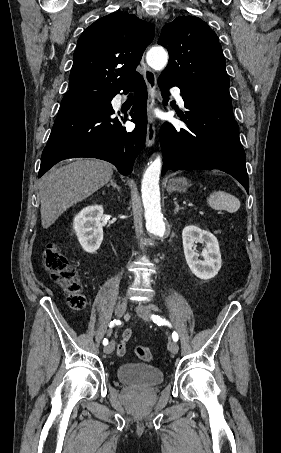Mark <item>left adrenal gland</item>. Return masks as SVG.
Instances as JSON below:
<instances>
[{"label": "left adrenal gland", "mask_w": 281, "mask_h": 453, "mask_svg": "<svg viewBox=\"0 0 281 453\" xmlns=\"http://www.w3.org/2000/svg\"><path fill=\"white\" fill-rule=\"evenodd\" d=\"M174 204H175V210H174V212H175V214H176V212H178V210H180V206H179L178 202H176V200H174Z\"/></svg>", "instance_id": "left-adrenal-gland-1"}]
</instances>
